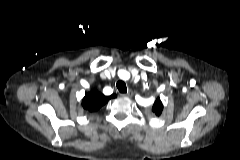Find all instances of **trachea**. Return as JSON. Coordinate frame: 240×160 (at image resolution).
Segmentation results:
<instances>
[{
  "instance_id": "obj_1",
  "label": "trachea",
  "mask_w": 240,
  "mask_h": 160,
  "mask_svg": "<svg viewBox=\"0 0 240 160\" xmlns=\"http://www.w3.org/2000/svg\"><path fill=\"white\" fill-rule=\"evenodd\" d=\"M117 89L120 93H126L127 92V86L123 81H118L117 82Z\"/></svg>"
}]
</instances>
